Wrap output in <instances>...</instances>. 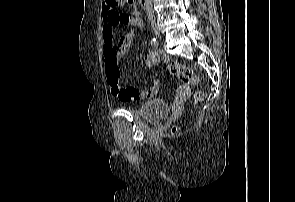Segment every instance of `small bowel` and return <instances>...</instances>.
Here are the masks:
<instances>
[{
    "label": "small bowel",
    "instance_id": "small-bowel-1",
    "mask_svg": "<svg viewBox=\"0 0 295 202\" xmlns=\"http://www.w3.org/2000/svg\"><path fill=\"white\" fill-rule=\"evenodd\" d=\"M102 36H103V54L104 65L107 77V82L112 94L120 100L141 101L153 98L159 90V79L153 80L152 86L147 90H138L133 86L122 87L120 85L121 77L119 70V60L128 51L132 44L133 37L136 31L140 30L143 23L137 11H133L128 15L130 18L129 24L132 30L124 34L117 42L114 41V29L120 26V15L108 11L106 2L102 4ZM165 58V54L158 50H151L146 58L145 65L151 66ZM189 89L187 85H178L177 98L172 102V107H181V103H185V98H188Z\"/></svg>",
    "mask_w": 295,
    "mask_h": 202
}]
</instances>
